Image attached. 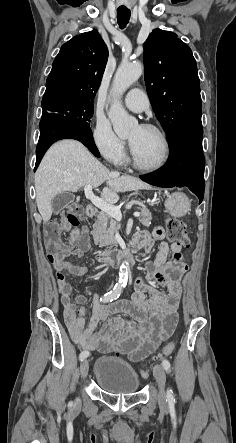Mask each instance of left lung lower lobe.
<instances>
[{"mask_svg": "<svg viewBox=\"0 0 236 443\" xmlns=\"http://www.w3.org/2000/svg\"><path fill=\"white\" fill-rule=\"evenodd\" d=\"M202 136L201 123L179 128L169 140L170 155L166 166L140 178L159 187L187 186L198 196L201 203L205 188Z\"/></svg>", "mask_w": 236, "mask_h": 443, "instance_id": "obj_1", "label": "left lung lower lobe"}]
</instances>
